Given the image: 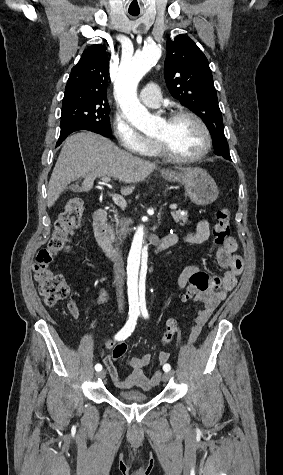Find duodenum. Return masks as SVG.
Returning a JSON list of instances; mask_svg holds the SVG:
<instances>
[{
  "label": "duodenum",
  "mask_w": 283,
  "mask_h": 475,
  "mask_svg": "<svg viewBox=\"0 0 283 475\" xmlns=\"http://www.w3.org/2000/svg\"><path fill=\"white\" fill-rule=\"evenodd\" d=\"M93 229L99 247L107 257L115 259L118 254L109 237L108 214L105 209H98L95 212ZM172 245L173 241L169 238V236H165L153 244V251L159 252Z\"/></svg>",
  "instance_id": "410a0bca"
}]
</instances>
